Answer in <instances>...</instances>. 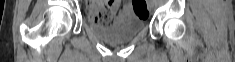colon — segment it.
<instances>
[{"label":"colon","instance_id":"5ec220e1","mask_svg":"<svg viewBox=\"0 0 235 62\" xmlns=\"http://www.w3.org/2000/svg\"><path fill=\"white\" fill-rule=\"evenodd\" d=\"M95 17L98 23L110 25L112 22V14L107 4L104 2H96ZM134 10L137 16L146 18L148 16V7L145 0H134Z\"/></svg>","mask_w":235,"mask_h":62}]
</instances>
